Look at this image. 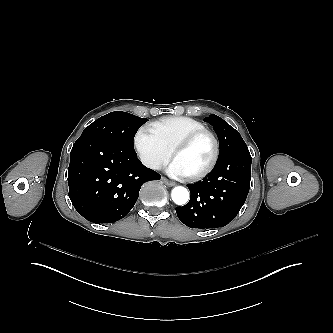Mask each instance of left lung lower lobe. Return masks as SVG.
Returning a JSON list of instances; mask_svg holds the SVG:
<instances>
[{
    "mask_svg": "<svg viewBox=\"0 0 333 333\" xmlns=\"http://www.w3.org/2000/svg\"><path fill=\"white\" fill-rule=\"evenodd\" d=\"M252 158L247 149L235 151L216 162L202 181L187 185L191 198L176 213L191 228H217L232 221L250 189Z\"/></svg>",
    "mask_w": 333,
    "mask_h": 333,
    "instance_id": "obj_1",
    "label": "left lung lower lobe"
}]
</instances>
